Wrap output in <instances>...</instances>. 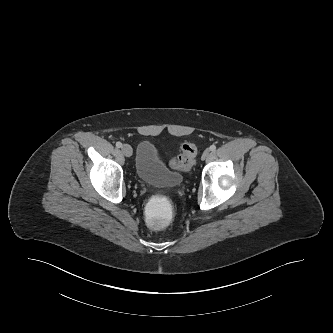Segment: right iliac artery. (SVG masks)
Masks as SVG:
<instances>
[{
    "label": "right iliac artery",
    "instance_id": "82829eb1",
    "mask_svg": "<svg viewBox=\"0 0 333 333\" xmlns=\"http://www.w3.org/2000/svg\"><path fill=\"white\" fill-rule=\"evenodd\" d=\"M116 147H117V148H121V147H122V143H121V142H117V143H116Z\"/></svg>",
    "mask_w": 333,
    "mask_h": 333
}]
</instances>
